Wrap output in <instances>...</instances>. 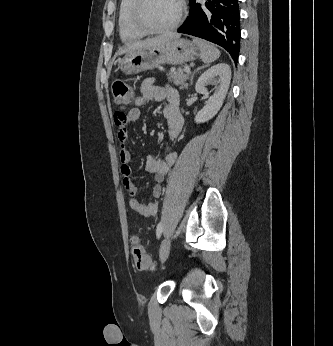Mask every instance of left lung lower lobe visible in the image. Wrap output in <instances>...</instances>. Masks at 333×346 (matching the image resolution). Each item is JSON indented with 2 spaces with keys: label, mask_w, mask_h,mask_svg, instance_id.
Segmentation results:
<instances>
[{
  "label": "left lung lower lobe",
  "mask_w": 333,
  "mask_h": 346,
  "mask_svg": "<svg viewBox=\"0 0 333 346\" xmlns=\"http://www.w3.org/2000/svg\"><path fill=\"white\" fill-rule=\"evenodd\" d=\"M189 16L177 30L203 38L226 49L237 62L240 50V11L238 0H189Z\"/></svg>",
  "instance_id": "1"
}]
</instances>
